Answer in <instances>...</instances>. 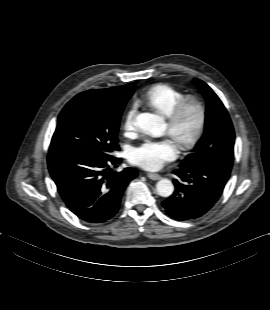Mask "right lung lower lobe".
<instances>
[{
  "mask_svg": "<svg viewBox=\"0 0 270 310\" xmlns=\"http://www.w3.org/2000/svg\"><path fill=\"white\" fill-rule=\"evenodd\" d=\"M120 159H98L76 153H49L48 167L67 207L81 220L101 223L117 213L128 183L137 177L133 168L109 170Z\"/></svg>",
  "mask_w": 270,
  "mask_h": 310,
  "instance_id": "right-lung-lower-lobe-1",
  "label": "right lung lower lobe"
}]
</instances>
